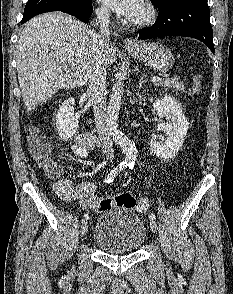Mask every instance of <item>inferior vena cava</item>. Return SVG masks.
Segmentation results:
<instances>
[{
	"label": "inferior vena cava",
	"instance_id": "obj_1",
	"mask_svg": "<svg viewBox=\"0 0 233 294\" xmlns=\"http://www.w3.org/2000/svg\"><path fill=\"white\" fill-rule=\"evenodd\" d=\"M97 19L100 24V32L95 34V46L97 52L92 58L87 70L88 91L94 109L95 126L98 136L102 143V149L108 159L113 158V142L106 127V74L107 65L103 56V49L109 42V16L107 8L96 11Z\"/></svg>",
	"mask_w": 233,
	"mask_h": 294
}]
</instances>
